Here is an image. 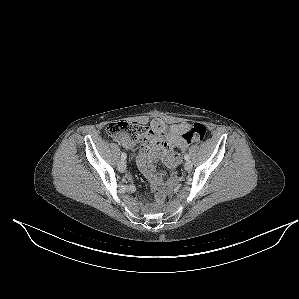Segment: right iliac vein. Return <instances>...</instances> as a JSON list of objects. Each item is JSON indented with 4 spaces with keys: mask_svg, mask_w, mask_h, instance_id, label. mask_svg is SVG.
I'll list each match as a JSON object with an SVG mask.
<instances>
[{
    "mask_svg": "<svg viewBox=\"0 0 299 299\" xmlns=\"http://www.w3.org/2000/svg\"><path fill=\"white\" fill-rule=\"evenodd\" d=\"M117 169H118V171H120V172H124V171H125V169H126V164H125V161H124V160H121V161L118 162V164H117Z\"/></svg>",
    "mask_w": 299,
    "mask_h": 299,
    "instance_id": "right-iliac-vein-1",
    "label": "right iliac vein"
}]
</instances>
